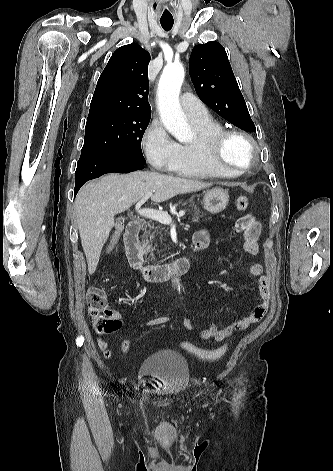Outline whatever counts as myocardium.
Returning <instances> with one entry per match:
<instances>
[{
  "instance_id": "1",
  "label": "myocardium",
  "mask_w": 333,
  "mask_h": 471,
  "mask_svg": "<svg viewBox=\"0 0 333 471\" xmlns=\"http://www.w3.org/2000/svg\"><path fill=\"white\" fill-rule=\"evenodd\" d=\"M232 139L241 140L247 146L248 157L246 162L242 165L231 164L224 158V149L226 144ZM201 143L207 152L210 161L222 170L242 173L250 169L255 161L256 144L249 135L242 131L222 129L221 131L210 135Z\"/></svg>"
}]
</instances>
